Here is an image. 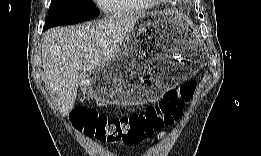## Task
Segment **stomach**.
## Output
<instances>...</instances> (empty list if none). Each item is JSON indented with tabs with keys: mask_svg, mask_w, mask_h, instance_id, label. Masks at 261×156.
Listing matches in <instances>:
<instances>
[{
	"mask_svg": "<svg viewBox=\"0 0 261 156\" xmlns=\"http://www.w3.org/2000/svg\"><path fill=\"white\" fill-rule=\"evenodd\" d=\"M125 41L124 51L89 72L80 83L101 103L126 106L155 102L192 77L201 63L193 28L174 11L140 17ZM149 43L157 51L139 63L141 46Z\"/></svg>",
	"mask_w": 261,
	"mask_h": 156,
	"instance_id": "stomach-1",
	"label": "stomach"
}]
</instances>
